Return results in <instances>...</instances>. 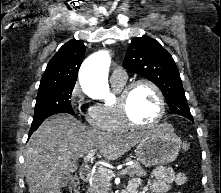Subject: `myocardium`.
Returning a JSON list of instances; mask_svg holds the SVG:
<instances>
[{
  "instance_id": "1",
  "label": "myocardium",
  "mask_w": 221,
  "mask_h": 193,
  "mask_svg": "<svg viewBox=\"0 0 221 193\" xmlns=\"http://www.w3.org/2000/svg\"><path fill=\"white\" fill-rule=\"evenodd\" d=\"M139 85H147L150 88H152L154 92L156 93L158 101H159V111H158L156 118L152 122L147 123V124H142V123H138L137 121H135L129 109V102H130L132 91L134 90L135 87ZM116 102H117V106H118L123 122L128 127H131V128H136V129L154 128L161 123L165 115L166 103H165L164 94L162 90L160 89V87L149 79H136L130 82L129 84L124 85L121 92L119 93V96Z\"/></svg>"
}]
</instances>
